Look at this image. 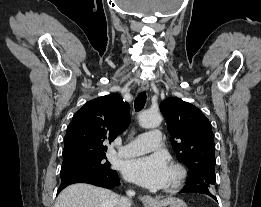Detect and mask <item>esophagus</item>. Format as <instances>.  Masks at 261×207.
I'll return each instance as SVG.
<instances>
[{
  "label": "esophagus",
  "instance_id": "34e87169",
  "mask_svg": "<svg viewBox=\"0 0 261 207\" xmlns=\"http://www.w3.org/2000/svg\"><path fill=\"white\" fill-rule=\"evenodd\" d=\"M149 89V82L147 80L142 81L141 90L146 91ZM142 203L145 206H151L155 203V199L149 195L140 196Z\"/></svg>",
  "mask_w": 261,
  "mask_h": 207
}]
</instances>
